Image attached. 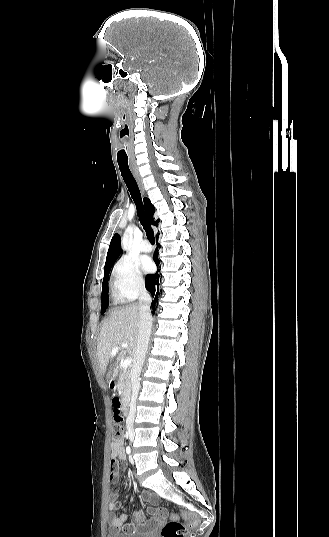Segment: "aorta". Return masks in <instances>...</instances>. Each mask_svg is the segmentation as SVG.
<instances>
[{
	"mask_svg": "<svg viewBox=\"0 0 329 537\" xmlns=\"http://www.w3.org/2000/svg\"><path fill=\"white\" fill-rule=\"evenodd\" d=\"M129 243H130V228H127L125 230V233H124L123 238H122V246H123V248L127 249Z\"/></svg>",
	"mask_w": 329,
	"mask_h": 537,
	"instance_id": "1",
	"label": "aorta"
}]
</instances>
